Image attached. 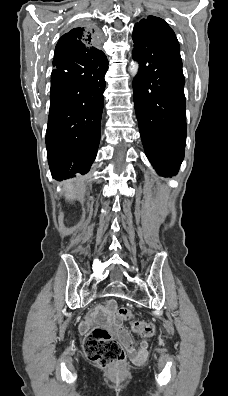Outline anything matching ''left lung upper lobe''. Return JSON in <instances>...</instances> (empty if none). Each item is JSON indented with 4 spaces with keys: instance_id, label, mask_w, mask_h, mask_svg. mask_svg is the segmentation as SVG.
Returning a JSON list of instances; mask_svg holds the SVG:
<instances>
[{
    "instance_id": "1",
    "label": "left lung upper lobe",
    "mask_w": 228,
    "mask_h": 396,
    "mask_svg": "<svg viewBox=\"0 0 228 396\" xmlns=\"http://www.w3.org/2000/svg\"><path fill=\"white\" fill-rule=\"evenodd\" d=\"M132 37H156L158 40L170 42L179 46L175 33L167 22L155 16H148L140 20L139 23H136Z\"/></svg>"
}]
</instances>
